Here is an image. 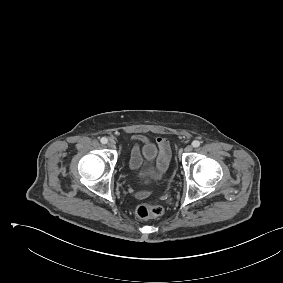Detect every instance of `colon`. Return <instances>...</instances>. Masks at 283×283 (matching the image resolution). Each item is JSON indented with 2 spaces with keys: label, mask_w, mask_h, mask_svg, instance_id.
<instances>
[{
  "label": "colon",
  "mask_w": 283,
  "mask_h": 283,
  "mask_svg": "<svg viewBox=\"0 0 283 283\" xmlns=\"http://www.w3.org/2000/svg\"><path fill=\"white\" fill-rule=\"evenodd\" d=\"M164 208L160 205L141 204L136 209V215L141 219L161 216Z\"/></svg>",
  "instance_id": "1"
}]
</instances>
